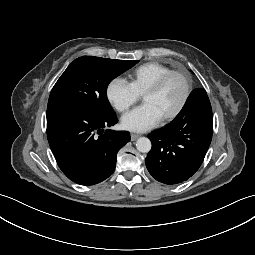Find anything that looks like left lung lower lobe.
<instances>
[{
  "label": "left lung lower lobe",
  "mask_w": 255,
  "mask_h": 255,
  "mask_svg": "<svg viewBox=\"0 0 255 255\" xmlns=\"http://www.w3.org/2000/svg\"><path fill=\"white\" fill-rule=\"evenodd\" d=\"M212 132L209 98L203 88H197L172 122L148 135L152 142L145 160L149 173L168 185L186 181L201 166Z\"/></svg>",
  "instance_id": "0a47b994"
}]
</instances>
